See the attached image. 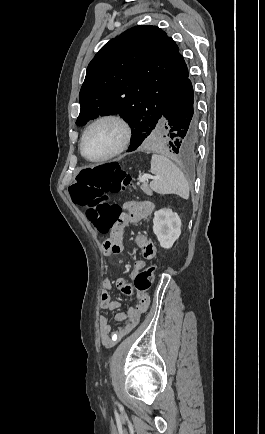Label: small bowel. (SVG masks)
Returning a JSON list of instances; mask_svg holds the SVG:
<instances>
[{
  "mask_svg": "<svg viewBox=\"0 0 265 434\" xmlns=\"http://www.w3.org/2000/svg\"><path fill=\"white\" fill-rule=\"evenodd\" d=\"M125 211L118 224L112 230L110 236L103 242V254L105 257L118 255L122 252L123 230L129 224L143 225L154 211V205L151 202L129 201L124 206ZM135 244L140 249L143 259L135 262L134 270L130 275V280H135V275L146 266V261L151 260L156 255V247L152 240L146 234H139L135 237ZM116 288L124 295H132L131 285L123 277H118L114 281ZM113 282L105 277L102 280V289L100 293V307L106 311H114L120 307V302L114 300L111 296ZM142 308H147L146 299H143ZM146 310V309H145ZM136 306L130 307L126 312H117L114 320L118 323L117 328L112 331L109 319L106 315L98 317L99 338L103 347L112 348L122 337H124L136 325L126 326L128 319H137L139 322L142 313ZM137 322V323H138Z\"/></svg>",
  "mask_w": 265,
  "mask_h": 434,
  "instance_id": "obj_1",
  "label": "small bowel"
}]
</instances>
